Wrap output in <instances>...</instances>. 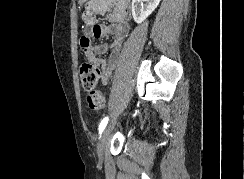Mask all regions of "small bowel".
<instances>
[{
    "label": "small bowel",
    "mask_w": 244,
    "mask_h": 179,
    "mask_svg": "<svg viewBox=\"0 0 244 179\" xmlns=\"http://www.w3.org/2000/svg\"><path fill=\"white\" fill-rule=\"evenodd\" d=\"M86 9L82 14L84 24L80 39L82 53L86 60L94 63L101 70L104 84L110 82L124 54V42L129 34L130 11L126 1L90 0L85 2ZM97 16H106L107 22H96ZM113 36L111 43L95 44L94 38ZM110 52L108 58L106 54Z\"/></svg>",
    "instance_id": "small-bowel-1"
}]
</instances>
